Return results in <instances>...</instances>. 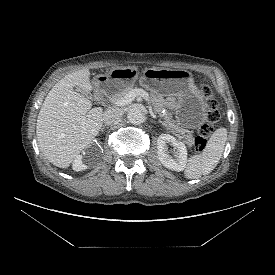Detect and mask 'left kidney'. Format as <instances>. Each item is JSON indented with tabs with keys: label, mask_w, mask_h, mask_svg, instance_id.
Returning a JSON list of instances; mask_svg holds the SVG:
<instances>
[{
	"label": "left kidney",
	"mask_w": 275,
	"mask_h": 275,
	"mask_svg": "<svg viewBox=\"0 0 275 275\" xmlns=\"http://www.w3.org/2000/svg\"><path fill=\"white\" fill-rule=\"evenodd\" d=\"M172 145L176 150L174 157L170 155L168 146ZM157 154L160 162L168 169L183 171L187 163V149L183 142L177 141L170 134H161L157 140Z\"/></svg>",
	"instance_id": "5707ae66"
}]
</instances>
